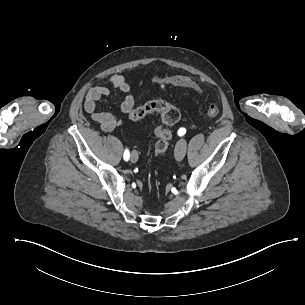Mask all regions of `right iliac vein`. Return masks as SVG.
Masks as SVG:
<instances>
[{"label":"right iliac vein","instance_id":"63e3f726","mask_svg":"<svg viewBox=\"0 0 305 305\" xmlns=\"http://www.w3.org/2000/svg\"><path fill=\"white\" fill-rule=\"evenodd\" d=\"M131 162L136 163L138 161V154L136 153V151H132L131 152V157H130Z\"/></svg>","mask_w":305,"mask_h":305}]
</instances>
